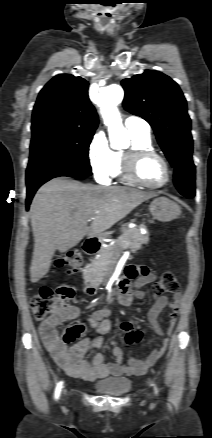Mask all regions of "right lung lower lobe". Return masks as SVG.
<instances>
[{"label":"right lung lower lobe","instance_id":"1","mask_svg":"<svg viewBox=\"0 0 212 438\" xmlns=\"http://www.w3.org/2000/svg\"><path fill=\"white\" fill-rule=\"evenodd\" d=\"M91 170L81 168H34L26 172L27 198L26 209H29L31 200L37 189L52 178L59 176L86 177L90 176Z\"/></svg>","mask_w":212,"mask_h":438}]
</instances>
